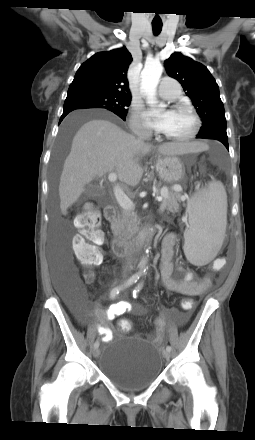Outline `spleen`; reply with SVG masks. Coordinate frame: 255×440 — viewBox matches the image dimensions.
<instances>
[{"instance_id":"1","label":"spleen","mask_w":255,"mask_h":440,"mask_svg":"<svg viewBox=\"0 0 255 440\" xmlns=\"http://www.w3.org/2000/svg\"><path fill=\"white\" fill-rule=\"evenodd\" d=\"M190 227L185 231L184 253L195 265L209 263L222 246L227 225V195L223 185L211 182L188 205Z\"/></svg>"}]
</instances>
